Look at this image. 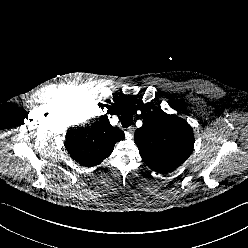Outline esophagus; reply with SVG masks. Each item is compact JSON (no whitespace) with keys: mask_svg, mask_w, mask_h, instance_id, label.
I'll return each mask as SVG.
<instances>
[{"mask_svg":"<svg viewBox=\"0 0 248 248\" xmlns=\"http://www.w3.org/2000/svg\"><path fill=\"white\" fill-rule=\"evenodd\" d=\"M134 130H135V127L134 126H130L127 130H126V135L129 137V138H132V135L134 133Z\"/></svg>","mask_w":248,"mask_h":248,"instance_id":"esophagus-1","label":"esophagus"}]
</instances>
